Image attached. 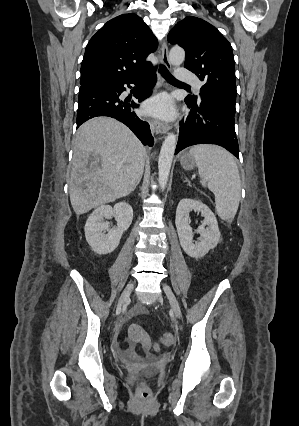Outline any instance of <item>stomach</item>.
<instances>
[{"instance_id":"0dacf381","label":"stomach","mask_w":299,"mask_h":426,"mask_svg":"<svg viewBox=\"0 0 299 426\" xmlns=\"http://www.w3.org/2000/svg\"><path fill=\"white\" fill-rule=\"evenodd\" d=\"M180 163L181 166L186 170H192L195 166H197V163L192 155L190 153H183L180 157Z\"/></svg>"}]
</instances>
